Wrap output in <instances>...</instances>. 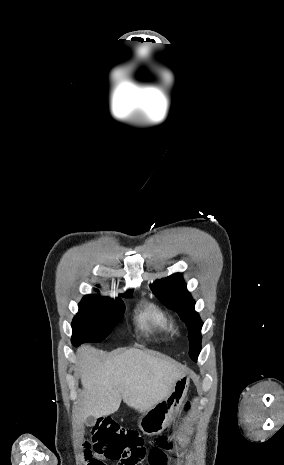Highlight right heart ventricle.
<instances>
[{"label":"right heart ventricle","instance_id":"1","mask_svg":"<svg viewBox=\"0 0 284 465\" xmlns=\"http://www.w3.org/2000/svg\"><path fill=\"white\" fill-rule=\"evenodd\" d=\"M136 323L140 329L154 335L157 340L171 336L175 329L172 318L154 301H149L139 311Z\"/></svg>","mask_w":284,"mask_h":465}]
</instances>
